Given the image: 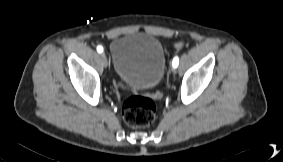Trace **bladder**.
<instances>
[{
  "label": "bladder",
  "instance_id": "bladder-1",
  "mask_svg": "<svg viewBox=\"0 0 283 162\" xmlns=\"http://www.w3.org/2000/svg\"><path fill=\"white\" fill-rule=\"evenodd\" d=\"M113 70L129 88L150 90L163 79L166 57L161 42L146 33L125 34L111 44Z\"/></svg>",
  "mask_w": 283,
  "mask_h": 162
}]
</instances>
